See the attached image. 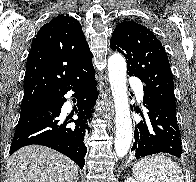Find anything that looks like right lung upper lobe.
Instances as JSON below:
<instances>
[{
	"instance_id": "right-lung-upper-lobe-1",
	"label": "right lung upper lobe",
	"mask_w": 196,
	"mask_h": 182,
	"mask_svg": "<svg viewBox=\"0 0 196 182\" xmlns=\"http://www.w3.org/2000/svg\"><path fill=\"white\" fill-rule=\"evenodd\" d=\"M92 64L80 23L59 15L44 24L32 41L24 77L22 106L35 105Z\"/></svg>"
}]
</instances>
